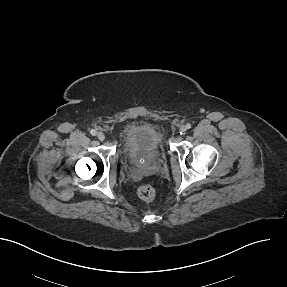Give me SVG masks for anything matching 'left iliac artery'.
<instances>
[{"label":"left iliac artery","instance_id":"1","mask_svg":"<svg viewBox=\"0 0 287 287\" xmlns=\"http://www.w3.org/2000/svg\"><path fill=\"white\" fill-rule=\"evenodd\" d=\"M186 128H187V129H190V128H191V124H189V123L186 124Z\"/></svg>","mask_w":287,"mask_h":287}]
</instances>
